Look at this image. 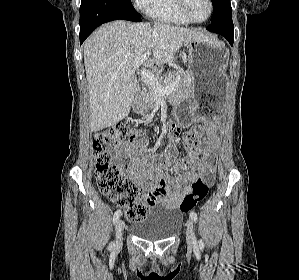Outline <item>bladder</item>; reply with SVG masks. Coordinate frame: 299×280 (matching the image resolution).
<instances>
[{
	"instance_id": "bladder-1",
	"label": "bladder",
	"mask_w": 299,
	"mask_h": 280,
	"mask_svg": "<svg viewBox=\"0 0 299 280\" xmlns=\"http://www.w3.org/2000/svg\"><path fill=\"white\" fill-rule=\"evenodd\" d=\"M183 217L176 209L153 210L146 218L131 226V232L138 238L159 241L166 240L181 229Z\"/></svg>"
}]
</instances>
